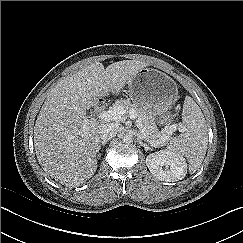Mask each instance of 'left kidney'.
Segmentation results:
<instances>
[{
  "label": "left kidney",
  "mask_w": 243,
  "mask_h": 243,
  "mask_svg": "<svg viewBox=\"0 0 243 243\" xmlns=\"http://www.w3.org/2000/svg\"><path fill=\"white\" fill-rule=\"evenodd\" d=\"M146 165L156 178L167 182L182 180L187 174L186 159L168 150L148 155Z\"/></svg>",
  "instance_id": "1"
}]
</instances>
